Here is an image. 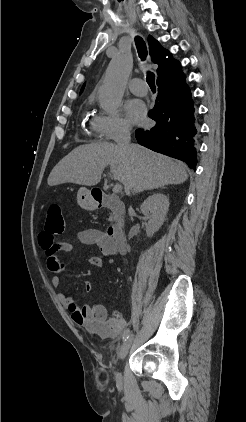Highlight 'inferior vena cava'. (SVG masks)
Here are the masks:
<instances>
[{
  "label": "inferior vena cava",
  "mask_w": 246,
  "mask_h": 422,
  "mask_svg": "<svg viewBox=\"0 0 246 422\" xmlns=\"http://www.w3.org/2000/svg\"><path fill=\"white\" fill-rule=\"evenodd\" d=\"M130 140V128L128 126L123 127L115 139L117 145L127 153H131Z\"/></svg>",
  "instance_id": "obj_1"
}]
</instances>
